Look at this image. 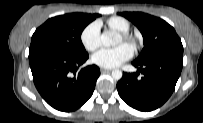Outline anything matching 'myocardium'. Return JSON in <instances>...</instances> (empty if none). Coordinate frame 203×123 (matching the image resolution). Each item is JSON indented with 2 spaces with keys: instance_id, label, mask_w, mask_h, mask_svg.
Returning a JSON list of instances; mask_svg holds the SVG:
<instances>
[{
  "instance_id": "obj_1",
  "label": "myocardium",
  "mask_w": 203,
  "mask_h": 123,
  "mask_svg": "<svg viewBox=\"0 0 203 123\" xmlns=\"http://www.w3.org/2000/svg\"><path fill=\"white\" fill-rule=\"evenodd\" d=\"M120 36L124 43L128 44L132 49L138 47V39L136 36L129 32H120Z\"/></svg>"
}]
</instances>
